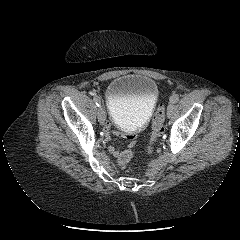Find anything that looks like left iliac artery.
<instances>
[{"label":"left iliac artery","mask_w":240,"mask_h":240,"mask_svg":"<svg viewBox=\"0 0 240 240\" xmlns=\"http://www.w3.org/2000/svg\"><path fill=\"white\" fill-rule=\"evenodd\" d=\"M170 100H171V102H173V103H177V102L179 101V95H174V96H172Z\"/></svg>","instance_id":"left-iliac-artery-1"}]
</instances>
